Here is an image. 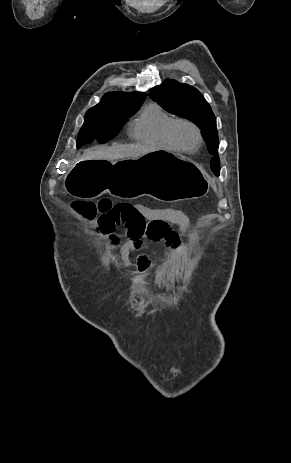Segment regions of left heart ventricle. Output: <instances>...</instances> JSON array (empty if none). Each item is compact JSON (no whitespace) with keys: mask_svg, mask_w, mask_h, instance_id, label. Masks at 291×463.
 I'll return each mask as SVG.
<instances>
[{"mask_svg":"<svg viewBox=\"0 0 291 463\" xmlns=\"http://www.w3.org/2000/svg\"><path fill=\"white\" fill-rule=\"evenodd\" d=\"M179 142L185 147H193L196 143V135L193 129L187 125H180L176 129Z\"/></svg>","mask_w":291,"mask_h":463,"instance_id":"obj_1","label":"left heart ventricle"}]
</instances>
